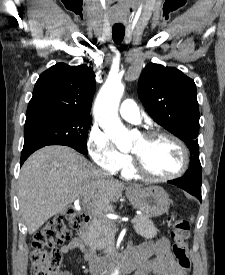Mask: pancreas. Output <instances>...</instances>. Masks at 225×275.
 I'll return each mask as SVG.
<instances>
[{"instance_id": "cf45deb5", "label": "pancreas", "mask_w": 225, "mask_h": 275, "mask_svg": "<svg viewBox=\"0 0 225 275\" xmlns=\"http://www.w3.org/2000/svg\"><path fill=\"white\" fill-rule=\"evenodd\" d=\"M134 229L137 234L147 239L155 237L158 233L153 222L144 215H137ZM117 226L108 219H94L88 226L87 241L93 249H108L113 247Z\"/></svg>"}]
</instances>
